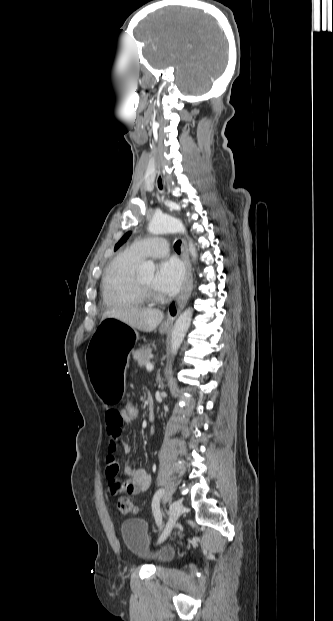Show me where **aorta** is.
<instances>
[{
  "mask_svg": "<svg viewBox=\"0 0 333 621\" xmlns=\"http://www.w3.org/2000/svg\"><path fill=\"white\" fill-rule=\"evenodd\" d=\"M148 230L154 235L164 233H186V229L183 224L174 217L165 215H156L150 221ZM189 251L193 259L196 258V250L193 244L189 243ZM155 271V265L152 261H147L139 266L140 275H153ZM192 309L188 308L183 311L177 318L171 336V353L172 356H176L178 349L180 348L186 332L191 324Z\"/></svg>",
  "mask_w": 333,
  "mask_h": 621,
  "instance_id": "762f6f07",
  "label": "aorta"
}]
</instances>
